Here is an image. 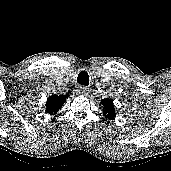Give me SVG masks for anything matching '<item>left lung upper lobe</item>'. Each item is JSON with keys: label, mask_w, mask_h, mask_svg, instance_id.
<instances>
[{"label": "left lung upper lobe", "mask_w": 171, "mask_h": 171, "mask_svg": "<svg viewBox=\"0 0 171 171\" xmlns=\"http://www.w3.org/2000/svg\"><path fill=\"white\" fill-rule=\"evenodd\" d=\"M101 103L104 107L103 109L104 116H106V118H108L109 120L114 119L116 114H115L113 101L111 99L106 98L101 100Z\"/></svg>", "instance_id": "left-lung-upper-lobe-1"}]
</instances>
